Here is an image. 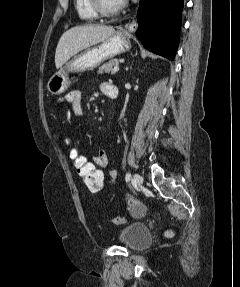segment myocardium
<instances>
[{
    "mask_svg": "<svg viewBox=\"0 0 240 287\" xmlns=\"http://www.w3.org/2000/svg\"><path fill=\"white\" fill-rule=\"evenodd\" d=\"M92 6L97 14L105 17H110L121 12L125 7V2L122 1L114 8H107L104 6L103 0H91Z\"/></svg>",
    "mask_w": 240,
    "mask_h": 287,
    "instance_id": "f54148a6",
    "label": "myocardium"
}]
</instances>
